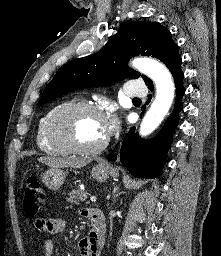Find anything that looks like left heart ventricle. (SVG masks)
<instances>
[{
	"label": "left heart ventricle",
	"mask_w": 221,
	"mask_h": 256,
	"mask_svg": "<svg viewBox=\"0 0 221 256\" xmlns=\"http://www.w3.org/2000/svg\"><path fill=\"white\" fill-rule=\"evenodd\" d=\"M104 124L105 119L97 114L79 113L71 119L70 133L76 144L83 147H93L106 137Z\"/></svg>",
	"instance_id": "1"
}]
</instances>
